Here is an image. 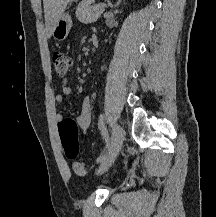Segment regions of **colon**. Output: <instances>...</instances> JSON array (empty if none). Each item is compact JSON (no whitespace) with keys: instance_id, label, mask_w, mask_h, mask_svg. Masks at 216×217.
<instances>
[{"instance_id":"5ec220e1","label":"colon","mask_w":216,"mask_h":217,"mask_svg":"<svg viewBox=\"0 0 216 217\" xmlns=\"http://www.w3.org/2000/svg\"><path fill=\"white\" fill-rule=\"evenodd\" d=\"M52 63L56 74L65 76L71 68V58L63 52L57 51L53 54ZM77 123L72 119H64L59 127L60 138L64 154L68 159H75L78 156L79 146L77 140ZM73 170L77 176L84 177L88 174V167L83 163H75Z\"/></svg>"}]
</instances>
